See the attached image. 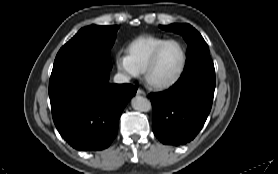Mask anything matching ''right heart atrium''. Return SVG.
Returning <instances> with one entry per match:
<instances>
[{"instance_id":"d8ad5b80","label":"right heart atrium","mask_w":278,"mask_h":174,"mask_svg":"<svg viewBox=\"0 0 278 174\" xmlns=\"http://www.w3.org/2000/svg\"><path fill=\"white\" fill-rule=\"evenodd\" d=\"M118 70L127 77H135L139 74L138 70L133 66L130 59L126 55H120L116 60Z\"/></svg>"}]
</instances>
